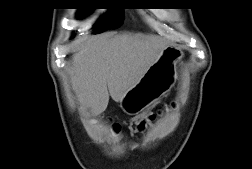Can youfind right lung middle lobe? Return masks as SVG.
Returning <instances> with one entry per match:
<instances>
[{"instance_id":"obj_1","label":"right lung middle lobe","mask_w":252,"mask_h":169,"mask_svg":"<svg viewBox=\"0 0 252 169\" xmlns=\"http://www.w3.org/2000/svg\"><path fill=\"white\" fill-rule=\"evenodd\" d=\"M81 6H95L99 4L106 3L105 1L109 0H78ZM93 10L90 7L81 8L79 11V16L84 17L89 14ZM123 20V9L122 8H114L113 11L107 16L104 25L100 26L95 34L102 33L108 29H114L121 25Z\"/></svg>"}]
</instances>
